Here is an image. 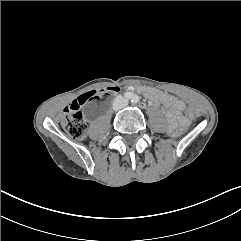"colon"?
I'll use <instances>...</instances> for the list:
<instances>
[{
    "mask_svg": "<svg viewBox=\"0 0 241 241\" xmlns=\"http://www.w3.org/2000/svg\"><path fill=\"white\" fill-rule=\"evenodd\" d=\"M114 90H116V87H107L98 91L94 90V91H90L82 94L78 98V100L65 111V114L61 122L62 128L73 139H83L87 134V124L84 120L83 114L79 110L80 106L92 98L108 95ZM158 93H161V92H158ZM186 116L188 118H192L193 114L190 111H186ZM172 132L175 136H180L182 134V128L179 125H174L172 127Z\"/></svg>",
    "mask_w": 241,
    "mask_h": 241,
    "instance_id": "colon-1",
    "label": "colon"
}]
</instances>
